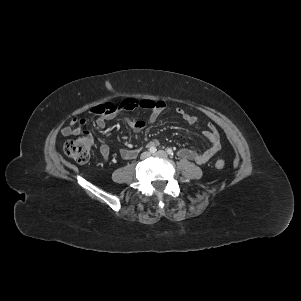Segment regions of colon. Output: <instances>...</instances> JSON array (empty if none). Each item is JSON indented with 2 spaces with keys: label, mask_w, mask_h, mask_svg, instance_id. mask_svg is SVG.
Instances as JSON below:
<instances>
[{
  "label": "colon",
  "mask_w": 301,
  "mask_h": 301,
  "mask_svg": "<svg viewBox=\"0 0 301 301\" xmlns=\"http://www.w3.org/2000/svg\"><path fill=\"white\" fill-rule=\"evenodd\" d=\"M112 111L113 107L108 105L105 109ZM93 146V137L89 132L83 131L75 138L68 140L64 144V152L67 156L73 158L78 163H86L90 159V154ZM215 167L217 169H223L225 167V162L222 159H218L215 162Z\"/></svg>",
  "instance_id": "obj_1"
}]
</instances>
